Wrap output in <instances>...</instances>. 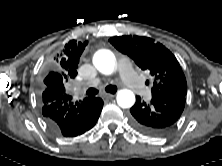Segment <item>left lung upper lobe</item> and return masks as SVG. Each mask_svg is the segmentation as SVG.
Here are the masks:
<instances>
[{
	"mask_svg": "<svg viewBox=\"0 0 222 166\" xmlns=\"http://www.w3.org/2000/svg\"><path fill=\"white\" fill-rule=\"evenodd\" d=\"M110 43L121 53L127 54L142 69L148 70L155 81L152 94L161 91L187 93L184 73L175 56L162 44L148 37L115 36Z\"/></svg>",
	"mask_w": 222,
	"mask_h": 166,
	"instance_id": "left-lung-upper-lobe-1",
	"label": "left lung upper lobe"
}]
</instances>
